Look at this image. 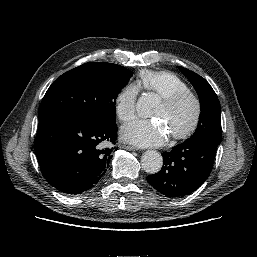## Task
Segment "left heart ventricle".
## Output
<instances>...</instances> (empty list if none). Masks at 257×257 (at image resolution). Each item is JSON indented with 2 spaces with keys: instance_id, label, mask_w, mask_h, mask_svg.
Masks as SVG:
<instances>
[{
  "instance_id": "b2bd125f",
  "label": "left heart ventricle",
  "mask_w": 257,
  "mask_h": 257,
  "mask_svg": "<svg viewBox=\"0 0 257 257\" xmlns=\"http://www.w3.org/2000/svg\"><path fill=\"white\" fill-rule=\"evenodd\" d=\"M195 112L190 99L182 101L173 108L166 107L161 101L153 112V117L160 118L170 135L183 131L192 121Z\"/></svg>"
}]
</instances>
